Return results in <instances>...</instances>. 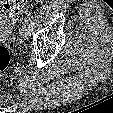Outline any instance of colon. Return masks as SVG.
I'll return each instance as SVG.
<instances>
[{
  "mask_svg": "<svg viewBox=\"0 0 113 113\" xmlns=\"http://www.w3.org/2000/svg\"><path fill=\"white\" fill-rule=\"evenodd\" d=\"M26 11V4L22 0H0V12L14 22L22 21ZM13 43V38L9 37L4 44H0V74L8 68L11 62Z\"/></svg>",
  "mask_w": 113,
  "mask_h": 113,
  "instance_id": "1",
  "label": "colon"
}]
</instances>
